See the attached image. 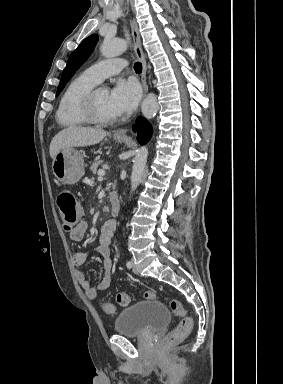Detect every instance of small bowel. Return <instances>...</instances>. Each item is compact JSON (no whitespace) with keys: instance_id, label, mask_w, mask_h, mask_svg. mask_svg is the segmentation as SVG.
Here are the masks:
<instances>
[{"instance_id":"obj_1","label":"small bowel","mask_w":283,"mask_h":384,"mask_svg":"<svg viewBox=\"0 0 283 384\" xmlns=\"http://www.w3.org/2000/svg\"><path fill=\"white\" fill-rule=\"evenodd\" d=\"M87 228L88 223L85 220L79 221V223L69 232L70 239L76 242L81 241L87 231ZM115 230L116 222L112 219L107 220L101 227L99 245L96 248V252L103 259L104 277L97 284V286H92L82 271L76 272V277L81 289L91 300L97 299L99 293L108 289L111 284L113 260L110 254L109 247ZM87 256V253L75 252L72 256L73 265L77 267L82 266L85 263Z\"/></svg>"}]
</instances>
